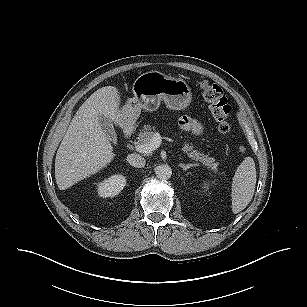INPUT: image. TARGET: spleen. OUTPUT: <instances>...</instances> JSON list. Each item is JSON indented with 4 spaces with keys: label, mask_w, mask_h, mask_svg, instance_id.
<instances>
[{
    "label": "spleen",
    "mask_w": 307,
    "mask_h": 307,
    "mask_svg": "<svg viewBox=\"0 0 307 307\" xmlns=\"http://www.w3.org/2000/svg\"><path fill=\"white\" fill-rule=\"evenodd\" d=\"M245 151L244 147L240 148ZM256 168L253 158L246 157L238 166L232 182V211L237 214L251 202L256 185Z\"/></svg>",
    "instance_id": "1"
}]
</instances>
